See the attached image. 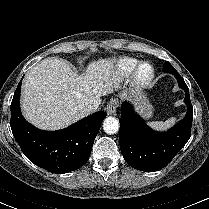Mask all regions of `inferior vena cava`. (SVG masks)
Listing matches in <instances>:
<instances>
[{"label":"inferior vena cava","instance_id":"obj_1","mask_svg":"<svg viewBox=\"0 0 209 209\" xmlns=\"http://www.w3.org/2000/svg\"><path fill=\"white\" fill-rule=\"evenodd\" d=\"M97 108H98V106H96V105H87L83 108V112L88 115L92 112H95L97 110Z\"/></svg>","mask_w":209,"mask_h":209}]
</instances>
